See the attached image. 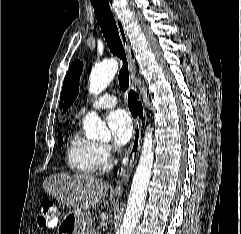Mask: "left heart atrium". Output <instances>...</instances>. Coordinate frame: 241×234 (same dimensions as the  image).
Wrapping results in <instances>:
<instances>
[{
    "label": "left heart atrium",
    "mask_w": 241,
    "mask_h": 234,
    "mask_svg": "<svg viewBox=\"0 0 241 234\" xmlns=\"http://www.w3.org/2000/svg\"><path fill=\"white\" fill-rule=\"evenodd\" d=\"M113 141L122 146L126 144L133 134V123L129 114L123 109H117L110 113L107 118Z\"/></svg>",
    "instance_id": "obj_1"
}]
</instances>
